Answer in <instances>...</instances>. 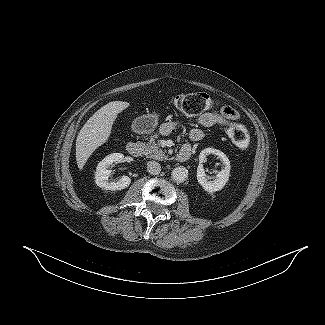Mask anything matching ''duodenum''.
Segmentation results:
<instances>
[{
	"mask_svg": "<svg viewBox=\"0 0 325 325\" xmlns=\"http://www.w3.org/2000/svg\"><path fill=\"white\" fill-rule=\"evenodd\" d=\"M127 152L134 157H138L142 154V145L140 142H130L127 144ZM191 156L190 145L183 146L180 151L176 154L175 159L178 162H185Z\"/></svg>",
	"mask_w": 325,
	"mask_h": 325,
	"instance_id": "1",
	"label": "duodenum"
}]
</instances>
